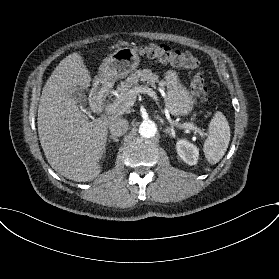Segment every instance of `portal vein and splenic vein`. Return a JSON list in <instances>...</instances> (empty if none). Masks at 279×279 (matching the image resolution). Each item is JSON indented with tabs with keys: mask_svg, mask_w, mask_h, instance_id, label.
<instances>
[{
	"mask_svg": "<svg viewBox=\"0 0 279 279\" xmlns=\"http://www.w3.org/2000/svg\"><path fill=\"white\" fill-rule=\"evenodd\" d=\"M141 93H147L150 96H154V92L152 91L151 88H149L146 85H144V86L138 85L131 92L128 93V95L126 96V99L131 100L132 95H137V94H141ZM121 101H119V102H121ZM119 102H116L114 104H109V105L105 106L104 113L107 114V115H117V114H122L123 112H125L126 109L124 107L118 108ZM182 127L190 129V130H192L194 132H197V133L201 132L200 128L195 126L194 124L185 123V124L182 125Z\"/></svg>",
	"mask_w": 279,
	"mask_h": 279,
	"instance_id": "obj_1",
	"label": "portal vein and splenic vein"
}]
</instances>
